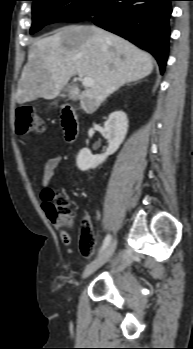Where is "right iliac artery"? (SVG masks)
Segmentation results:
<instances>
[{"instance_id": "82829eb1", "label": "right iliac artery", "mask_w": 193, "mask_h": 349, "mask_svg": "<svg viewBox=\"0 0 193 349\" xmlns=\"http://www.w3.org/2000/svg\"><path fill=\"white\" fill-rule=\"evenodd\" d=\"M110 241H111V236H110V235H107V236L105 237V240H104V242H103V245H102V247H101V249H100V251H99V254H101V253L107 248V246L109 245Z\"/></svg>"}]
</instances>
